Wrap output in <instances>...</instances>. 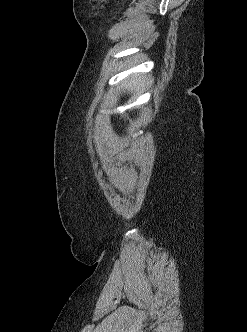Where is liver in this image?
<instances>
[{"instance_id":"liver-1","label":"liver","mask_w":247,"mask_h":332,"mask_svg":"<svg viewBox=\"0 0 247 332\" xmlns=\"http://www.w3.org/2000/svg\"><path fill=\"white\" fill-rule=\"evenodd\" d=\"M143 81H145V77L132 76L123 83V87L132 91L133 88L139 87Z\"/></svg>"}]
</instances>
